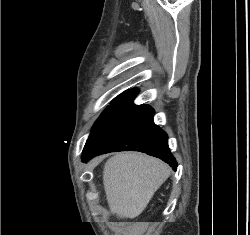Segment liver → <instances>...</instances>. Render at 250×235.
Here are the masks:
<instances>
[{"instance_id":"6515ba94","label":"liver","mask_w":250,"mask_h":235,"mask_svg":"<svg viewBox=\"0 0 250 235\" xmlns=\"http://www.w3.org/2000/svg\"><path fill=\"white\" fill-rule=\"evenodd\" d=\"M170 171L161 160L141 153H117L109 158L103 184L111 213L121 219L139 216Z\"/></svg>"}]
</instances>
